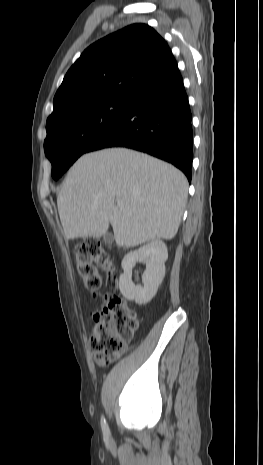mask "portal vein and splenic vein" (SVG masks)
<instances>
[{
	"mask_svg": "<svg viewBox=\"0 0 263 465\" xmlns=\"http://www.w3.org/2000/svg\"><path fill=\"white\" fill-rule=\"evenodd\" d=\"M117 205H118V206H122V203L118 202Z\"/></svg>",
	"mask_w": 263,
	"mask_h": 465,
	"instance_id": "18ae733b",
	"label": "portal vein and splenic vein"
}]
</instances>
